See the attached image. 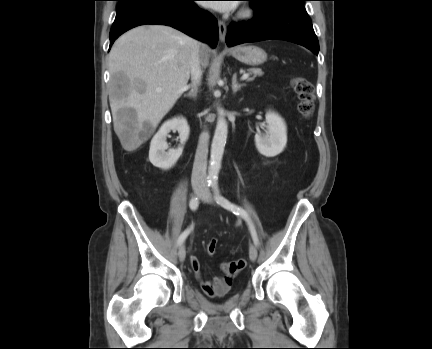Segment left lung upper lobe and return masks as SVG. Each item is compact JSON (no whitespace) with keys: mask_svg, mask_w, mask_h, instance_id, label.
Segmentation results:
<instances>
[{"mask_svg":"<svg viewBox=\"0 0 432 349\" xmlns=\"http://www.w3.org/2000/svg\"><path fill=\"white\" fill-rule=\"evenodd\" d=\"M247 1H256V0H247ZM291 1H294V2H297V3H300V4H303L304 1H306V0H291Z\"/></svg>","mask_w":432,"mask_h":349,"instance_id":"1","label":"left lung upper lobe"}]
</instances>
